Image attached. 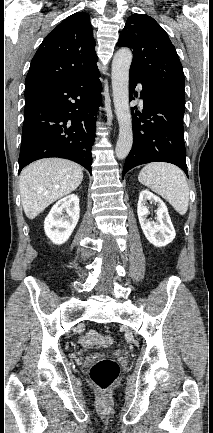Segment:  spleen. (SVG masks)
Returning <instances> with one entry per match:
<instances>
[{"label":"spleen","mask_w":213,"mask_h":433,"mask_svg":"<svg viewBox=\"0 0 213 433\" xmlns=\"http://www.w3.org/2000/svg\"><path fill=\"white\" fill-rule=\"evenodd\" d=\"M138 180L166 199L180 215L186 214L189 188L181 169L168 163H150L140 171Z\"/></svg>","instance_id":"spleen-1"}]
</instances>
